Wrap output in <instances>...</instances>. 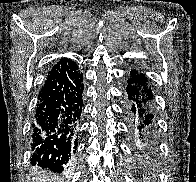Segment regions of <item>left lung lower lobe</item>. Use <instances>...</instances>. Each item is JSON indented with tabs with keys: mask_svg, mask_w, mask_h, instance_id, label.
Listing matches in <instances>:
<instances>
[{
	"mask_svg": "<svg viewBox=\"0 0 196 182\" xmlns=\"http://www.w3.org/2000/svg\"><path fill=\"white\" fill-rule=\"evenodd\" d=\"M143 73L131 70L127 79L126 110L133 137L141 154H151L154 147L155 117L153 93Z\"/></svg>",
	"mask_w": 196,
	"mask_h": 182,
	"instance_id": "left-lung-lower-lobe-1",
	"label": "left lung lower lobe"
}]
</instances>
